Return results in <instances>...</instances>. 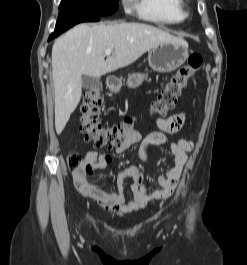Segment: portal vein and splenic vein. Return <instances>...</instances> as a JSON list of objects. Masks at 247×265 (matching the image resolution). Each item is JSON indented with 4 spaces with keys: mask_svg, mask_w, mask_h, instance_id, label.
Segmentation results:
<instances>
[{
    "mask_svg": "<svg viewBox=\"0 0 247 265\" xmlns=\"http://www.w3.org/2000/svg\"><path fill=\"white\" fill-rule=\"evenodd\" d=\"M112 53V49L111 48H107L105 50V55H110Z\"/></svg>",
    "mask_w": 247,
    "mask_h": 265,
    "instance_id": "portal-vein-and-splenic-vein-1",
    "label": "portal vein and splenic vein"
}]
</instances>
